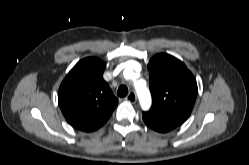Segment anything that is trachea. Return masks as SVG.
Wrapping results in <instances>:
<instances>
[{"label":"trachea","instance_id":"1","mask_svg":"<svg viewBox=\"0 0 249 165\" xmlns=\"http://www.w3.org/2000/svg\"><path fill=\"white\" fill-rule=\"evenodd\" d=\"M117 94L119 97H125L128 94V88L125 85H120Z\"/></svg>","mask_w":249,"mask_h":165}]
</instances>
